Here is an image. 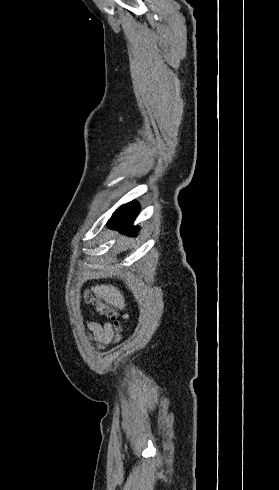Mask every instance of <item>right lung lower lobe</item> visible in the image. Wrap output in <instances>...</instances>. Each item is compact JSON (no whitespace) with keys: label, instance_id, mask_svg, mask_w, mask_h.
<instances>
[{"label":"right lung lower lobe","instance_id":"98d812e1","mask_svg":"<svg viewBox=\"0 0 279 490\" xmlns=\"http://www.w3.org/2000/svg\"><path fill=\"white\" fill-rule=\"evenodd\" d=\"M140 206L137 202L133 201L120 207L107 222V226L110 229L120 231L136 232L137 227H133V221L136 218Z\"/></svg>","mask_w":279,"mask_h":490}]
</instances>
